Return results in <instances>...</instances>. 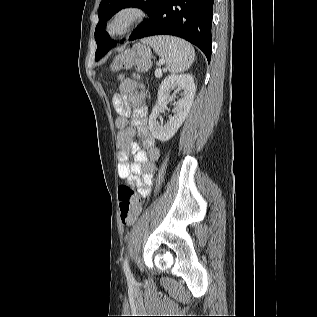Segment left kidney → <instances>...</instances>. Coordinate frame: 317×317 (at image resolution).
Returning <instances> with one entry per match:
<instances>
[{
	"mask_svg": "<svg viewBox=\"0 0 317 317\" xmlns=\"http://www.w3.org/2000/svg\"><path fill=\"white\" fill-rule=\"evenodd\" d=\"M171 90H175V93L180 90L183 92L181 99L173 104L174 115L170 116L163 125L162 122H158L157 118L162 111V105L170 98ZM195 93L194 78L190 74L170 75L163 80L158 90L156 105L149 116V129L156 139L165 142L174 136L190 111Z\"/></svg>",
	"mask_w": 317,
	"mask_h": 317,
	"instance_id": "1",
	"label": "left kidney"
}]
</instances>
